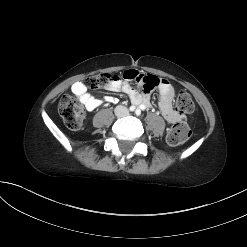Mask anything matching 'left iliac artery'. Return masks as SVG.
I'll return each mask as SVG.
<instances>
[{
    "label": "left iliac artery",
    "mask_w": 247,
    "mask_h": 247,
    "mask_svg": "<svg viewBox=\"0 0 247 247\" xmlns=\"http://www.w3.org/2000/svg\"><path fill=\"white\" fill-rule=\"evenodd\" d=\"M141 114V111L139 109L136 110V115L139 116Z\"/></svg>",
    "instance_id": "left-iliac-artery-1"
}]
</instances>
